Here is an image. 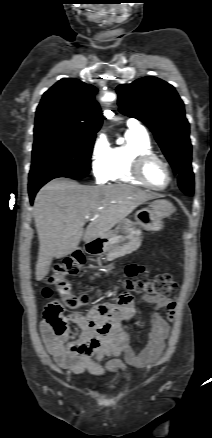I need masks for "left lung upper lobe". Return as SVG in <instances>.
<instances>
[{
	"mask_svg": "<svg viewBox=\"0 0 212 438\" xmlns=\"http://www.w3.org/2000/svg\"><path fill=\"white\" fill-rule=\"evenodd\" d=\"M119 111L154 133L175 173L191 163L192 146L184 103L169 83L147 76L117 87Z\"/></svg>",
	"mask_w": 212,
	"mask_h": 438,
	"instance_id": "left-lung-upper-lobe-1",
	"label": "left lung upper lobe"
}]
</instances>
